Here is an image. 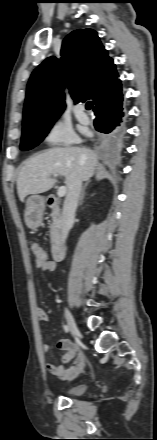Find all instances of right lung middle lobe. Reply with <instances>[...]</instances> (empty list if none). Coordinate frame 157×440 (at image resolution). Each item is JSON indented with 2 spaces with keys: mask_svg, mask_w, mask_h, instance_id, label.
<instances>
[{
  "mask_svg": "<svg viewBox=\"0 0 157 440\" xmlns=\"http://www.w3.org/2000/svg\"><path fill=\"white\" fill-rule=\"evenodd\" d=\"M53 123L54 121H47L41 123H32L23 126L20 149L26 151L37 146L47 135ZM113 139L115 138L107 137V140Z\"/></svg>",
  "mask_w": 157,
  "mask_h": 440,
  "instance_id": "obj_1",
  "label": "right lung middle lobe"
}]
</instances>
